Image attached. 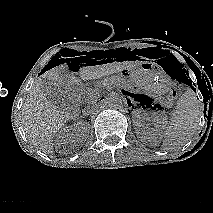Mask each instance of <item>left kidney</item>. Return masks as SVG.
Here are the masks:
<instances>
[{
  "label": "left kidney",
  "instance_id": "obj_1",
  "mask_svg": "<svg viewBox=\"0 0 213 213\" xmlns=\"http://www.w3.org/2000/svg\"><path fill=\"white\" fill-rule=\"evenodd\" d=\"M133 118L136 134L143 141L157 138L164 129V118L156 112L146 113L145 111L137 110L133 112ZM147 120L152 121L154 128L146 129L145 121Z\"/></svg>",
  "mask_w": 213,
  "mask_h": 213
}]
</instances>
